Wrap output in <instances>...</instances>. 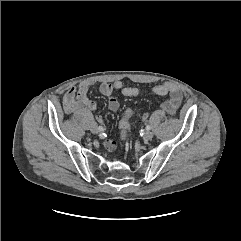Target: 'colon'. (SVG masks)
Returning a JSON list of instances; mask_svg holds the SVG:
<instances>
[{
  "label": "colon",
  "mask_w": 241,
  "mask_h": 241,
  "mask_svg": "<svg viewBox=\"0 0 241 241\" xmlns=\"http://www.w3.org/2000/svg\"><path fill=\"white\" fill-rule=\"evenodd\" d=\"M132 116H133V111L131 109H127L124 112V114L119 122V130H120L121 137L123 139H125L127 137L128 131L130 129V121H131Z\"/></svg>",
  "instance_id": "5ec220e1"
}]
</instances>
